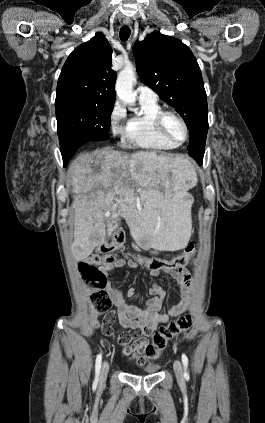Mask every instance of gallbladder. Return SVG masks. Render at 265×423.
I'll return each mask as SVG.
<instances>
[{"label": "gallbladder", "mask_w": 265, "mask_h": 423, "mask_svg": "<svg viewBox=\"0 0 265 423\" xmlns=\"http://www.w3.org/2000/svg\"><path fill=\"white\" fill-rule=\"evenodd\" d=\"M118 225H119V220L118 219H115V220H113L109 225H108V232H109V235H111V232L114 230V229H116L117 227H118Z\"/></svg>", "instance_id": "gallbladder-1"}]
</instances>
